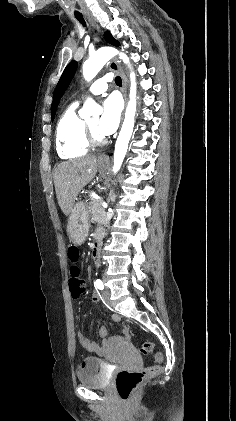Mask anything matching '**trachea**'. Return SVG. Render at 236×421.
<instances>
[{
	"instance_id": "3493384b",
	"label": "trachea",
	"mask_w": 236,
	"mask_h": 421,
	"mask_svg": "<svg viewBox=\"0 0 236 421\" xmlns=\"http://www.w3.org/2000/svg\"><path fill=\"white\" fill-rule=\"evenodd\" d=\"M76 18L78 19V21H80V22H81V24H83V26H85V25H86V23H85V21H84L83 16H81V15H77V16H76ZM115 83H116V85H118L119 87H121V86H122V80H121V77H116V78H115Z\"/></svg>"
}]
</instances>
